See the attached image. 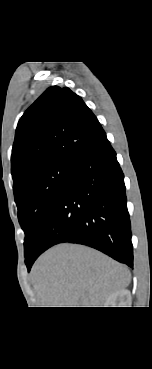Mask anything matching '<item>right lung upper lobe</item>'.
<instances>
[{
	"instance_id": "obj_1",
	"label": "right lung upper lobe",
	"mask_w": 152,
	"mask_h": 369,
	"mask_svg": "<svg viewBox=\"0 0 152 369\" xmlns=\"http://www.w3.org/2000/svg\"><path fill=\"white\" fill-rule=\"evenodd\" d=\"M104 133L80 96L67 87H49L17 125L11 156L13 190L29 173L72 162Z\"/></svg>"
}]
</instances>
